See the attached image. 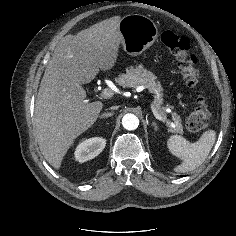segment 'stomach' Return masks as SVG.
<instances>
[{
    "instance_id": "stomach-1",
    "label": "stomach",
    "mask_w": 236,
    "mask_h": 236,
    "mask_svg": "<svg viewBox=\"0 0 236 236\" xmlns=\"http://www.w3.org/2000/svg\"><path fill=\"white\" fill-rule=\"evenodd\" d=\"M122 46L127 54L137 56L153 45L158 28L153 20L140 14H129L119 23Z\"/></svg>"
}]
</instances>
